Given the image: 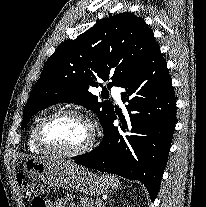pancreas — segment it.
I'll use <instances>...</instances> for the list:
<instances>
[{"mask_svg": "<svg viewBox=\"0 0 206 207\" xmlns=\"http://www.w3.org/2000/svg\"><path fill=\"white\" fill-rule=\"evenodd\" d=\"M95 205H97V202H93V201H89V202H84L82 204V207H96ZM98 206V205H97Z\"/></svg>", "mask_w": 206, "mask_h": 207, "instance_id": "pancreas-1", "label": "pancreas"}]
</instances>
